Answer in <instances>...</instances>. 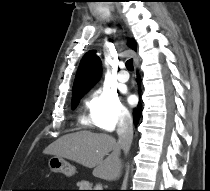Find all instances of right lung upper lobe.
Returning a JSON list of instances; mask_svg holds the SVG:
<instances>
[{
	"label": "right lung upper lobe",
	"instance_id": "1",
	"mask_svg": "<svg viewBox=\"0 0 210 191\" xmlns=\"http://www.w3.org/2000/svg\"><path fill=\"white\" fill-rule=\"evenodd\" d=\"M128 45L135 49V42L129 40ZM101 75V61L95 50L87 52L78 67L74 85L72 88V99L85 94L87 90L99 79Z\"/></svg>",
	"mask_w": 210,
	"mask_h": 191
}]
</instances>
